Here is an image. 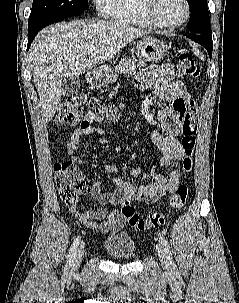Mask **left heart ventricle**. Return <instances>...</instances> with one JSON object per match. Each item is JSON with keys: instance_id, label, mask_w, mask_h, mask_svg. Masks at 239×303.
Wrapping results in <instances>:
<instances>
[{"instance_id": "left-heart-ventricle-1", "label": "left heart ventricle", "mask_w": 239, "mask_h": 303, "mask_svg": "<svg viewBox=\"0 0 239 303\" xmlns=\"http://www.w3.org/2000/svg\"><path fill=\"white\" fill-rule=\"evenodd\" d=\"M156 15L166 24H177L185 16V4L183 0H158Z\"/></svg>"}]
</instances>
